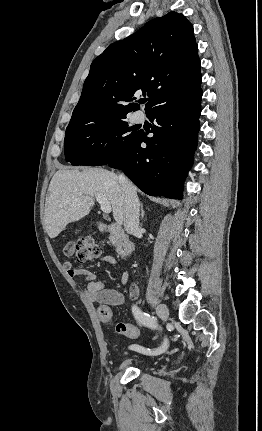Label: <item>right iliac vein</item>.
<instances>
[{
	"mask_svg": "<svg viewBox=\"0 0 262 431\" xmlns=\"http://www.w3.org/2000/svg\"><path fill=\"white\" fill-rule=\"evenodd\" d=\"M157 315L160 317L162 323H165L169 317L168 308L164 304H159L156 307Z\"/></svg>",
	"mask_w": 262,
	"mask_h": 431,
	"instance_id": "1",
	"label": "right iliac vein"
}]
</instances>
